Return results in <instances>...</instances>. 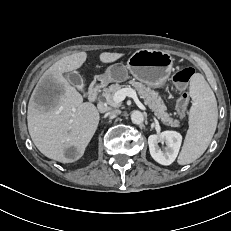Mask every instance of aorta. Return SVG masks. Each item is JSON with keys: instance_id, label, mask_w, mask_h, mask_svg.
Listing matches in <instances>:
<instances>
[{"instance_id": "aorta-1", "label": "aorta", "mask_w": 231, "mask_h": 231, "mask_svg": "<svg viewBox=\"0 0 231 231\" xmlns=\"http://www.w3.org/2000/svg\"><path fill=\"white\" fill-rule=\"evenodd\" d=\"M131 120L134 124L140 125L144 121V115L142 112L135 110L131 113Z\"/></svg>"}]
</instances>
